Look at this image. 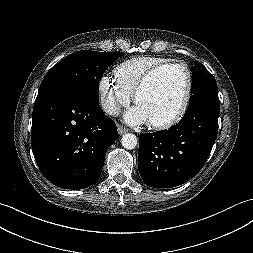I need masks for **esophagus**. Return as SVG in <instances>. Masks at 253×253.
Returning <instances> with one entry per match:
<instances>
[{
	"instance_id": "esophagus-1",
	"label": "esophagus",
	"mask_w": 253,
	"mask_h": 253,
	"mask_svg": "<svg viewBox=\"0 0 253 253\" xmlns=\"http://www.w3.org/2000/svg\"><path fill=\"white\" fill-rule=\"evenodd\" d=\"M117 130H118V133L120 134V135H122V134H124V133H126L128 130L126 129V128H124L122 125H120V124H118L117 125Z\"/></svg>"
}]
</instances>
